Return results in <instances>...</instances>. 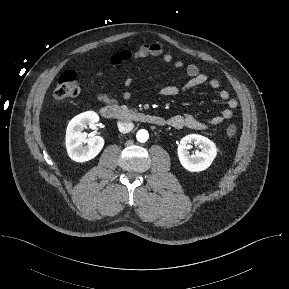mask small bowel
Wrapping results in <instances>:
<instances>
[{"mask_svg":"<svg viewBox=\"0 0 289 289\" xmlns=\"http://www.w3.org/2000/svg\"><path fill=\"white\" fill-rule=\"evenodd\" d=\"M147 57H161L164 63H172L175 68H185V72L188 76V80L180 85H166L160 89V95L163 97H173L187 90L196 88L201 85L207 84L210 88L218 91L220 99L227 102V107L223 109L220 114L210 118L209 120L202 121L198 118L189 115H174L168 119V124L175 129L189 128L193 130H204L211 126H216L229 120L233 116V111L238 107V101L234 98H230V94L225 89H220V82L217 79H209L206 74L201 72L200 68L195 64L184 65L181 60H174L173 56L169 53H164L162 46L159 43H147L142 44L135 49H124L113 53L109 58L111 66H118L124 62L143 59ZM103 76V72H97L91 80V85L96 93L107 101H114L115 98L108 97L104 92L100 83V78ZM130 92L123 93V98H130Z\"/></svg>","mask_w":289,"mask_h":289,"instance_id":"c3829d8e","label":"small bowel"}]
</instances>
